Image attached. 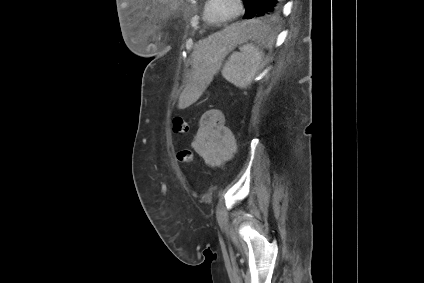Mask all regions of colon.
I'll use <instances>...</instances> for the list:
<instances>
[{
	"instance_id": "obj_1",
	"label": "colon",
	"mask_w": 424,
	"mask_h": 283,
	"mask_svg": "<svg viewBox=\"0 0 424 283\" xmlns=\"http://www.w3.org/2000/svg\"><path fill=\"white\" fill-rule=\"evenodd\" d=\"M173 131L176 134H185L189 131L188 122L182 117H175L173 119ZM178 159L186 165L192 163V153L188 150H182L177 154Z\"/></svg>"
}]
</instances>
